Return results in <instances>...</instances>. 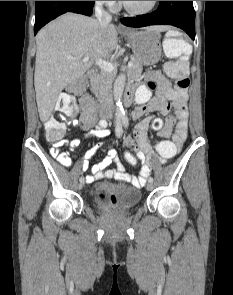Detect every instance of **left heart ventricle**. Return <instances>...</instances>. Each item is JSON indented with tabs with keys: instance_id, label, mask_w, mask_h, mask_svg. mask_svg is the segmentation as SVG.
I'll return each instance as SVG.
<instances>
[{
	"instance_id": "left-heart-ventricle-1",
	"label": "left heart ventricle",
	"mask_w": 233,
	"mask_h": 295,
	"mask_svg": "<svg viewBox=\"0 0 233 295\" xmlns=\"http://www.w3.org/2000/svg\"><path fill=\"white\" fill-rule=\"evenodd\" d=\"M126 4L134 10H144L148 8L152 1H125Z\"/></svg>"
}]
</instances>
